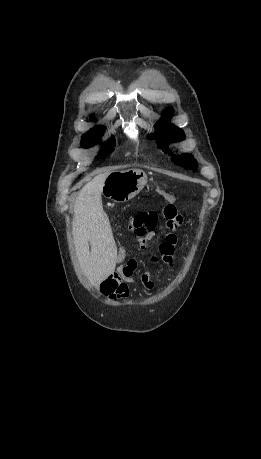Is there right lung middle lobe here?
<instances>
[{
	"label": "right lung middle lobe",
	"instance_id": "obj_1",
	"mask_svg": "<svg viewBox=\"0 0 261 459\" xmlns=\"http://www.w3.org/2000/svg\"><path fill=\"white\" fill-rule=\"evenodd\" d=\"M101 135H102V132L85 134L82 137L81 145L83 147H91L92 145L100 141L99 136ZM113 142H114V138L110 139L107 143H105L97 158L109 154L113 148Z\"/></svg>",
	"mask_w": 261,
	"mask_h": 459
}]
</instances>
